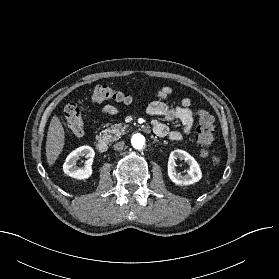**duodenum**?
<instances>
[{
  "label": "duodenum",
  "mask_w": 279,
  "mask_h": 279,
  "mask_svg": "<svg viewBox=\"0 0 279 279\" xmlns=\"http://www.w3.org/2000/svg\"><path fill=\"white\" fill-rule=\"evenodd\" d=\"M145 129L148 130V128ZM95 147L98 152L104 153L108 149V144L104 139H99L96 141Z\"/></svg>",
  "instance_id": "1"
}]
</instances>
